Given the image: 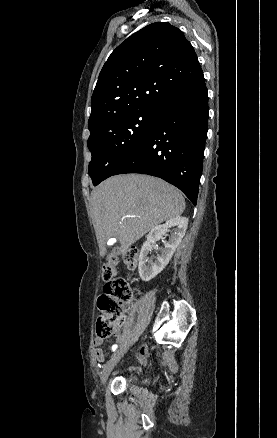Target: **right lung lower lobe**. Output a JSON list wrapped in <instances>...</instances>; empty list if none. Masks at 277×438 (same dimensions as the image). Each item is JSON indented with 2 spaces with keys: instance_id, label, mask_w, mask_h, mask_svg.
Masks as SVG:
<instances>
[{
  "instance_id": "98d812e1",
  "label": "right lung lower lobe",
  "mask_w": 277,
  "mask_h": 438,
  "mask_svg": "<svg viewBox=\"0 0 277 438\" xmlns=\"http://www.w3.org/2000/svg\"><path fill=\"white\" fill-rule=\"evenodd\" d=\"M169 69L170 65L163 70ZM208 110L203 76L164 98L143 142L113 175L141 173L160 177L178 187L196 205Z\"/></svg>"
}]
</instances>
